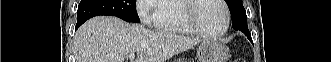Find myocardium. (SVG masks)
Masks as SVG:
<instances>
[{"instance_id": "f54148a6", "label": "myocardium", "mask_w": 331, "mask_h": 62, "mask_svg": "<svg viewBox=\"0 0 331 62\" xmlns=\"http://www.w3.org/2000/svg\"><path fill=\"white\" fill-rule=\"evenodd\" d=\"M202 0H185L183 1V17L186 24L198 35L208 38H219L226 34L230 26V12L223 0H215L220 4L224 11L225 24L224 28L217 33H211L201 27L198 20L195 17V10L199 2Z\"/></svg>"}]
</instances>
